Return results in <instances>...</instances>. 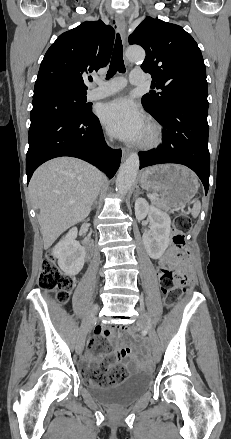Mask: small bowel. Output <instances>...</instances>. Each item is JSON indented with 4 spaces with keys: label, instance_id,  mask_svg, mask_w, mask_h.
Returning a JSON list of instances; mask_svg holds the SVG:
<instances>
[{
    "label": "small bowel",
    "instance_id": "1",
    "mask_svg": "<svg viewBox=\"0 0 231 439\" xmlns=\"http://www.w3.org/2000/svg\"><path fill=\"white\" fill-rule=\"evenodd\" d=\"M175 258V251L173 249H170L166 254V260L172 261ZM119 335V332L115 329H106L104 327H97L95 331V336L93 338H101L106 337L110 341L115 342L113 353L109 356H102V357H95L88 351L85 361L87 364V367L95 368L98 363L108 360L109 361V368L114 365H125L128 367L131 371L135 372L137 370V365L135 363V355L132 351V348L116 343V339Z\"/></svg>",
    "mask_w": 231,
    "mask_h": 439
}]
</instances>
